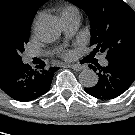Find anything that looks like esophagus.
<instances>
[{
	"label": "esophagus",
	"mask_w": 135,
	"mask_h": 135,
	"mask_svg": "<svg viewBox=\"0 0 135 135\" xmlns=\"http://www.w3.org/2000/svg\"><path fill=\"white\" fill-rule=\"evenodd\" d=\"M69 67L72 68L75 71H81L85 68L84 65H70Z\"/></svg>",
	"instance_id": "esophagus-1"
}]
</instances>
